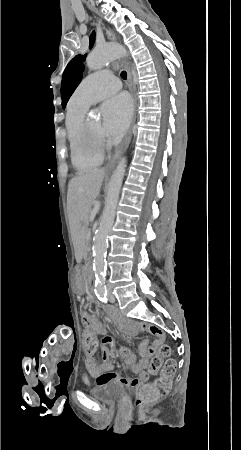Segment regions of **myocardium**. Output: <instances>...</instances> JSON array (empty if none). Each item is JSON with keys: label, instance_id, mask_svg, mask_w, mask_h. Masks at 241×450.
<instances>
[{"label": "myocardium", "instance_id": "obj_1", "mask_svg": "<svg viewBox=\"0 0 241 450\" xmlns=\"http://www.w3.org/2000/svg\"><path fill=\"white\" fill-rule=\"evenodd\" d=\"M86 119L77 127V133L81 134L75 140L80 143L79 144V152L87 153L88 157H92L93 153H95V157L101 158L103 157V152L100 150L103 149L102 138L99 136L100 131L97 128H85ZM94 136V137H93Z\"/></svg>", "mask_w": 241, "mask_h": 450}]
</instances>
